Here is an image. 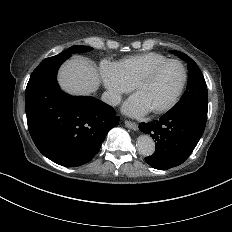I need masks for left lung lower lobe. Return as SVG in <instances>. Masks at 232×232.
<instances>
[{
  "label": "left lung lower lobe",
  "mask_w": 232,
  "mask_h": 232,
  "mask_svg": "<svg viewBox=\"0 0 232 232\" xmlns=\"http://www.w3.org/2000/svg\"><path fill=\"white\" fill-rule=\"evenodd\" d=\"M205 125L186 114L169 112L158 120L140 123L139 129L156 141L154 154L145 161L158 170L182 164L196 147Z\"/></svg>",
  "instance_id": "1"
}]
</instances>
